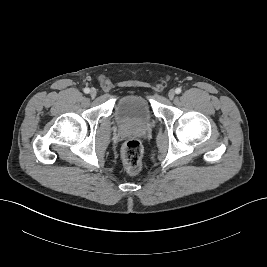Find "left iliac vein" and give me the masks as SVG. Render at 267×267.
Masks as SVG:
<instances>
[{
  "mask_svg": "<svg viewBox=\"0 0 267 267\" xmlns=\"http://www.w3.org/2000/svg\"><path fill=\"white\" fill-rule=\"evenodd\" d=\"M174 96H175V91L174 90H170L169 93H168L169 99L172 100L174 98Z\"/></svg>",
  "mask_w": 267,
  "mask_h": 267,
  "instance_id": "1",
  "label": "left iliac vein"
}]
</instances>
